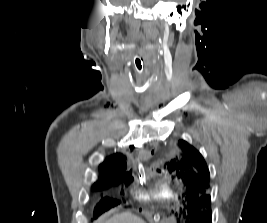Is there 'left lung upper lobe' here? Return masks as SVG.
Wrapping results in <instances>:
<instances>
[{
    "instance_id": "obj_1",
    "label": "left lung upper lobe",
    "mask_w": 267,
    "mask_h": 223,
    "mask_svg": "<svg viewBox=\"0 0 267 223\" xmlns=\"http://www.w3.org/2000/svg\"><path fill=\"white\" fill-rule=\"evenodd\" d=\"M182 152L169 162V171L181 178L187 187V205L179 206L172 203L165 209V214H189L190 217L200 219L201 223H211V201L206 195L209 188L210 174L202 155L184 140L179 141Z\"/></svg>"
}]
</instances>
